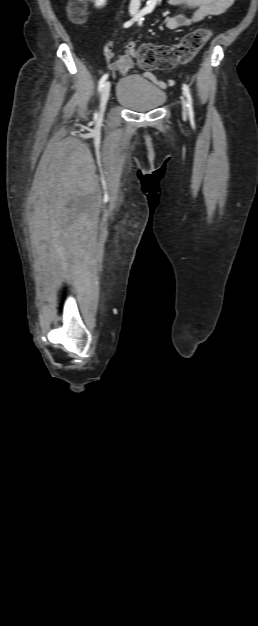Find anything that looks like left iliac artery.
I'll use <instances>...</instances> for the list:
<instances>
[{
    "label": "left iliac artery",
    "mask_w": 258,
    "mask_h": 626,
    "mask_svg": "<svg viewBox=\"0 0 258 626\" xmlns=\"http://www.w3.org/2000/svg\"><path fill=\"white\" fill-rule=\"evenodd\" d=\"M143 20H144V18H141L139 20V25L142 24ZM183 90H184V93H185V95L187 97V107H188L189 114L191 116H193L192 97H191V94H190L189 87L186 84H183Z\"/></svg>",
    "instance_id": "44dca946"
}]
</instances>
